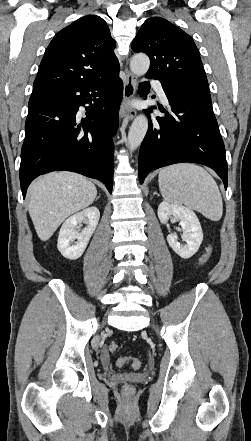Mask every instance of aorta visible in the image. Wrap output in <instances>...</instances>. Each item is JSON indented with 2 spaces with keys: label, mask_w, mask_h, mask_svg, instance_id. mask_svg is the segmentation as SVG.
Wrapping results in <instances>:
<instances>
[{
  "label": "aorta",
  "mask_w": 251,
  "mask_h": 441,
  "mask_svg": "<svg viewBox=\"0 0 251 441\" xmlns=\"http://www.w3.org/2000/svg\"><path fill=\"white\" fill-rule=\"evenodd\" d=\"M150 66V60L145 54L134 55L130 62V69L135 75H144ZM148 130V119L145 115L137 116L128 133V146L130 151H134L142 143Z\"/></svg>",
  "instance_id": "1"
}]
</instances>
